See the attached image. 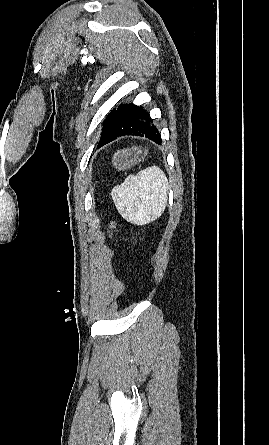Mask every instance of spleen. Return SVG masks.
<instances>
[{
  "instance_id": "3e777b00",
  "label": "spleen",
  "mask_w": 269,
  "mask_h": 445,
  "mask_svg": "<svg viewBox=\"0 0 269 445\" xmlns=\"http://www.w3.org/2000/svg\"><path fill=\"white\" fill-rule=\"evenodd\" d=\"M169 183L165 173L151 166L129 175L111 191L120 215L136 225L148 224L161 216L168 200Z\"/></svg>"
}]
</instances>
